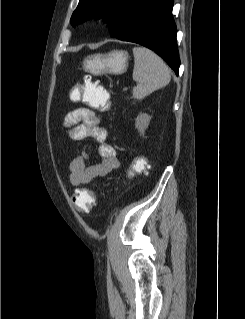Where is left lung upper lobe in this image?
<instances>
[{"instance_id": "1", "label": "left lung upper lobe", "mask_w": 245, "mask_h": 319, "mask_svg": "<svg viewBox=\"0 0 245 319\" xmlns=\"http://www.w3.org/2000/svg\"><path fill=\"white\" fill-rule=\"evenodd\" d=\"M142 0H80L70 22L77 24L89 18H104L111 37L122 29L133 9Z\"/></svg>"}]
</instances>
